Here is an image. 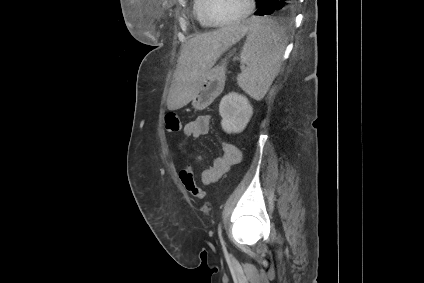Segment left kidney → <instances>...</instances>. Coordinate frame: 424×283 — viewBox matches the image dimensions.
<instances>
[{"label":"left kidney","instance_id":"obj_1","mask_svg":"<svg viewBox=\"0 0 424 283\" xmlns=\"http://www.w3.org/2000/svg\"><path fill=\"white\" fill-rule=\"evenodd\" d=\"M221 125L227 133H240L247 126L253 114L248 99L238 93H229L220 102Z\"/></svg>","mask_w":424,"mask_h":283}]
</instances>
